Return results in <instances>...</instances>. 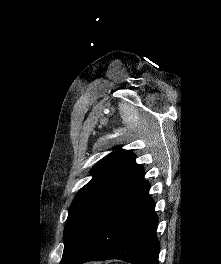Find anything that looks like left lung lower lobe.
<instances>
[{
  "label": "left lung lower lobe",
  "instance_id": "1",
  "mask_svg": "<svg viewBox=\"0 0 221 264\" xmlns=\"http://www.w3.org/2000/svg\"><path fill=\"white\" fill-rule=\"evenodd\" d=\"M150 184L143 181L114 207L60 264L119 259L132 264H159L158 224Z\"/></svg>",
  "mask_w": 221,
  "mask_h": 264
}]
</instances>
